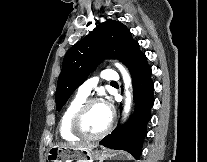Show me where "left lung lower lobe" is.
<instances>
[{"label": "left lung lower lobe", "instance_id": "left-lung-lower-lobe-1", "mask_svg": "<svg viewBox=\"0 0 207 162\" xmlns=\"http://www.w3.org/2000/svg\"><path fill=\"white\" fill-rule=\"evenodd\" d=\"M132 76L135 112L128 123L118 126L110 135L103 138L100 143L111 149L125 150L135 158L142 152V143L146 136V125L151 118V107L154 103L151 81V67L147 64L145 54L141 53L128 66Z\"/></svg>", "mask_w": 207, "mask_h": 162}]
</instances>
